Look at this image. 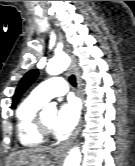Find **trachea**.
<instances>
[{"mask_svg":"<svg viewBox=\"0 0 135 166\" xmlns=\"http://www.w3.org/2000/svg\"><path fill=\"white\" fill-rule=\"evenodd\" d=\"M69 82L71 83L72 86L76 87V78L74 75L69 77Z\"/></svg>","mask_w":135,"mask_h":166,"instance_id":"3493384b","label":"trachea"}]
</instances>
